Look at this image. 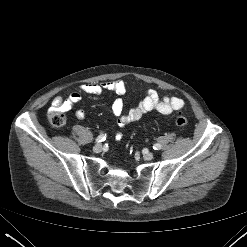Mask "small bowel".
Returning a JSON list of instances; mask_svg holds the SVG:
<instances>
[{"label": "small bowel", "mask_w": 247, "mask_h": 247, "mask_svg": "<svg viewBox=\"0 0 247 247\" xmlns=\"http://www.w3.org/2000/svg\"><path fill=\"white\" fill-rule=\"evenodd\" d=\"M80 90L90 95H100L103 91H113L118 96L126 92V86L122 80L106 81L102 83H86L80 86ZM81 94L74 92L67 98L56 96L52 101V109L68 111L81 101ZM184 107V101L179 97H162L154 89H149L145 97L138 105L124 112L123 100L119 97L111 105L110 111L117 118L120 127L130 122L139 120L145 113L156 111L162 115H170ZM75 116L83 119V110H77Z\"/></svg>", "instance_id": "small-bowel-1"}]
</instances>
